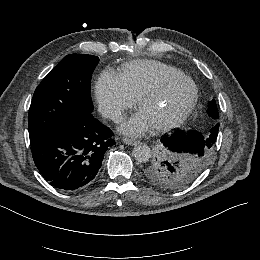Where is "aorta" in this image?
I'll list each match as a JSON object with an SVG mask.
<instances>
[{
  "instance_id": "aorta-1",
  "label": "aorta",
  "mask_w": 260,
  "mask_h": 260,
  "mask_svg": "<svg viewBox=\"0 0 260 260\" xmlns=\"http://www.w3.org/2000/svg\"><path fill=\"white\" fill-rule=\"evenodd\" d=\"M133 156L139 162H146L151 157V149L146 144H139L133 148Z\"/></svg>"
}]
</instances>
